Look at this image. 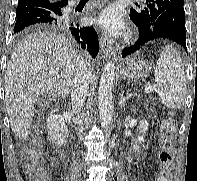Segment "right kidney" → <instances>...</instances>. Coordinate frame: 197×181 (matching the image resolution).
I'll return each mask as SVG.
<instances>
[{"label": "right kidney", "instance_id": "1", "mask_svg": "<svg viewBox=\"0 0 197 181\" xmlns=\"http://www.w3.org/2000/svg\"><path fill=\"white\" fill-rule=\"evenodd\" d=\"M57 109H52L47 119V130L50 139L57 146L65 145L69 131L62 116L55 114Z\"/></svg>", "mask_w": 197, "mask_h": 181}]
</instances>
